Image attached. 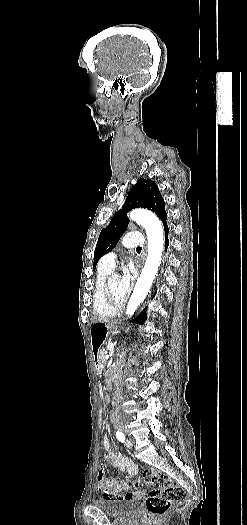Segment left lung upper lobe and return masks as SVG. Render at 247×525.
Returning a JSON list of instances; mask_svg holds the SVG:
<instances>
[{"mask_svg":"<svg viewBox=\"0 0 247 525\" xmlns=\"http://www.w3.org/2000/svg\"><path fill=\"white\" fill-rule=\"evenodd\" d=\"M147 208L163 220L167 214L164 199L156 183L150 179H140L129 191L125 204L111 219L110 224L102 229L94 252L95 269L102 255L111 251L126 231L129 219L127 213L134 208Z\"/></svg>","mask_w":247,"mask_h":525,"instance_id":"left-lung-upper-lobe-1","label":"left lung upper lobe"}]
</instances>
